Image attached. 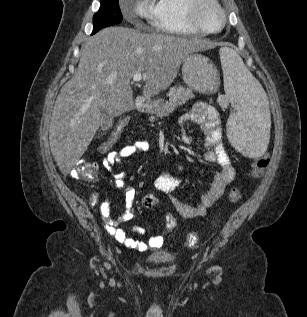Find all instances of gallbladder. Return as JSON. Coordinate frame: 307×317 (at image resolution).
Wrapping results in <instances>:
<instances>
[{
    "mask_svg": "<svg viewBox=\"0 0 307 317\" xmlns=\"http://www.w3.org/2000/svg\"><path fill=\"white\" fill-rule=\"evenodd\" d=\"M101 130L103 132L109 130L112 127V117L107 114L105 110H101Z\"/></svg>",
    "mask_w": 307,
    "mask_h": 317,
    "instance_id": "obj_1",
    "label": "gallbladder"
}]
</instances>
